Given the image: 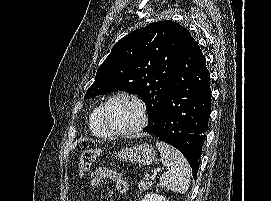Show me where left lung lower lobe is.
Here are the masks:
<instances>
[{
  "instance_id": "0a47b994",
  "label": "left lung lower lobe",
  "mask_w": 271,
  "mask_h": 201,
  "mask_svg": "<svg viewBox=\"0 0 271 201\" xmlns=\"http://www.w3.org/2000/svg\"><path fill=\"white\" fill-rule=\"evenodd\" d=\"M206 59L198 43L185 29L172 84L160 109L157 123L143 131L177 148L197 177L211 110V90Z\"/></svg>"
}]
</instances>
